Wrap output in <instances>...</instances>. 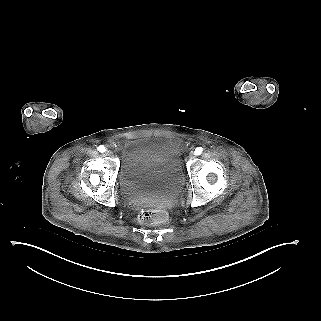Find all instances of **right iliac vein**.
Here are the masks:
<instances>
[{
	"instance_id": "obj_1",
	"label": "right iliac vein",
	"mask_w": 321,
	"mask_h": 321,
	"mask_svg": "<svg viewBox=\"0 0 321 321\" xmlns=\"http://www.w3.org/2000/svg\"><path fill=\"white\" fill-rule=\"evenodd\" d=\"M105 155H106V156H112L113 153H112L110 150H106V151H105Z\"/></svg>"
}]
</instances>
